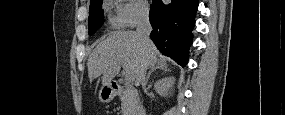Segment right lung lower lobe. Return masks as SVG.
<instances>
[{
	"mask_svg": "<svg viewBox=\"0 0 285 115\" xmlns=\"http://www.w3.org/2000/svg\"><path fill=\"white\" fill-rule=\"evenodd\" d=\"M197 8L198 0H171L168 5L153 0L150 8V38L162 54L182 66L188 63Z\"/></svg>",
	"mask_w": 285,
	"mask_h": 115,
	"instance_id": "right-lung-lower-lobe-1",
	"label": "right lung lower lobe"
}]
</instances>
